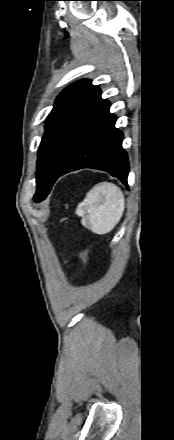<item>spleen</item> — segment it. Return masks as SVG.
<instances>
[{
    "label": "spleen",
    "mask_w": 174,
    "mask_h": 440,
    "mask_svg": "<svg viewBox=\"0 0 174 440\" xmlns=\"http://www.w3.org/2000/svg\"><path fill=\"white\" fill-rule=\"evenodd\" d=\"M125 209L122 190L111 182L95 185L78 205L76 213L81 223L96 234L110 232L120 221Z\"/></svg>",
    "instance_id": "spleen-1"
}]
</instances>
